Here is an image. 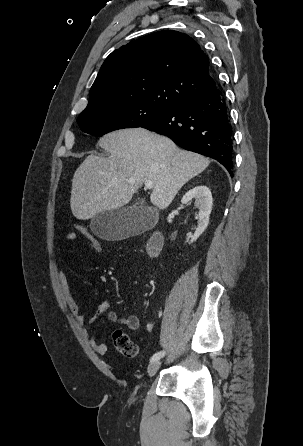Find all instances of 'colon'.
<instances>
[{
  "instance_id": "5ec220e1",
  "label": "colon",
  "mask_w": 303,
  "mask_h": 446,
  "mask_svg": "<svg viewBox=\"0 0 303 446\" xmlns=\"http://www.w3.org/2000/svg\"><path fill=\"white\" fill-rule=\"evenodd\" d=\"M74 228L75 233L92 241L95 252H102L103 247L101 243L95 239L84 226L77 223L74 225ZM111 340L116 350L124 357L128 359H135L138 357V346L130 340L129 336L124 331L120 329L113 330L111 333Z\"/></svg>"
}]
</instances>
